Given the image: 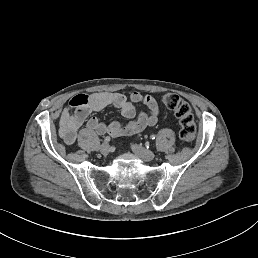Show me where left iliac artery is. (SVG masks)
<instances>
[{"mask_svg": "<svg viewBox=\"0 0 258 258\" xmlns=\"http://www.w3.org/2000/svg\"><path fill=\"white\" fill-rule=\"evenodd\" d=\"M152 140H155L156 139V135H151L150 137Z\"/></svg>", "mask_w": 258, "mask_h": 258, "instance_id": "obj_1", "label": "left iliac artery"}]
</instances>
